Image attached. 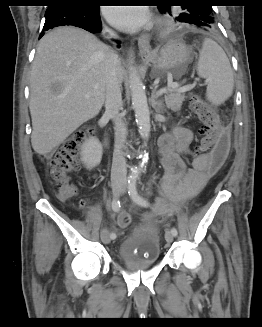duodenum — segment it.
Instances as JSON below:
<instances>
[{
    "mask_svg": "<svg viewBox=\"0 0 262 327\" xmlns=\"http://www.w3.org/2000/svg\"><path fill=\"white\" fill-rule=\"evenodd\" d=\"M108 144H109V140H108V138L106 137V138L104 139V146L107 147Z\"/></svg>",
    "mask_w": 262,
    "mask_h": 327,
    "instance_id": "duodenum-1",
    "label": "duodenum"
}]
</instances>
